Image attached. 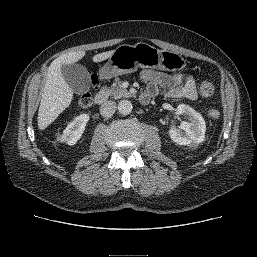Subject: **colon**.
<instances>
[{"instance_id": "colon-1", "label": "colon", "mask_w": 257, "mask_h": 257, "mask_svg": "<svg viewBox=\"0 0 257 257\" xmlns=\"http://www.w3.org/2000/svg\"><path fill=\"white\" fill-rule=\"evenodd\" d=\"M97 85H98V80H97V78H94L93 79V86L97 87ZM214 91H215V87L209 81H203L199 86V92L204 97H208V96L213 95ZM92 101H93L92 96L87 93V94L82 95L79 98L78 103L82 107H89V106H91ZM208 115L212 119H217L220 116V112H219V110L213 108V109L209 110Z\"/></svg>"}]
</instances>
